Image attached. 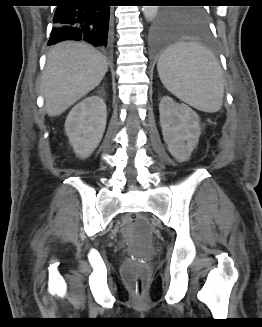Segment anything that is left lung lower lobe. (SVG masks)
<instances>
[{"mask_svg":"<svg viewBox=\"0 0 262 327\" xmlns=\"http://www.w3.org/2000/svg\"><path fill=\"white\" fill-rule=\"evenodd\" d=\"M177 27L162 15L160 20L152 27L149 33V49L152 53H159L167 50L177 41ZM196 35L202 42L209 40L207 26L198 27Z\"/></svg>","mask_w":262,"mask_h":327,"instance_id":"0a47b994","label":"left lung lower lobe"}]
</instances>
